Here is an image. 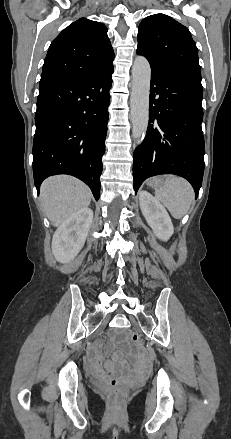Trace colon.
<instances>
[{
	"label": "colon",
	"mask_w": 231,
	"mask_h": 439,
	"mask_svg": "<svg viewBox=\"0 0 231 439\" xmlns=\"http://www.w3.org/2000/svg\"><path fill=\"white\" fill-rule=\"evenodd\" d=\"M130 340L134 345L141 344V337L138 333H131ZM108 396L113 404H119L126 399L127 390L120 379L115 377L111 378L109 382Z\"/></svg>",
	"instance_id": "colon-1"
}]
</instances>
